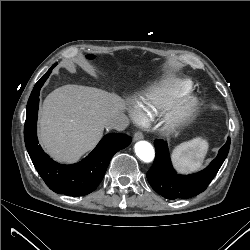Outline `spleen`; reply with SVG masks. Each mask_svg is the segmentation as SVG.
<instances>
[{
	"label": "spleen",
	"mask_w": 250,
	"mask_h": 250,
	"mask_svg": "<svg viewBox=\"0 0 250 250\" xmlns=\"http://www.w3.org/2000/svg\"><path fill=\"white\" fill-rule=\"evenodd\" d=\"M207 150V141L195 138L174 148L173 163L180 172L196 171L201 167Z\"/></svg>",
	"instance_id": "3e777b00"
}]
</instances>
